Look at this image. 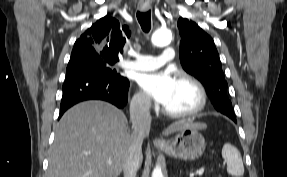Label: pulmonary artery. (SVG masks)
Instances as JSON below:
<instances>
[{
  "mask_svg": "<svg viewBox=\"0 0 287 177\" xmlns=\"http://www.w3.org/2000/svg\"><path fill=\"white\" fill-rule=\"evenodd\" d=\"M131 55L135 59L133 61L123 62L121 64L122 67L136 71H148L159 68L165 63L172 61L174 59V48L171 46L164 47L162 54L159 56L137 52H132Z\"/></svg>",
  "mask_w": 287,
  "mask_h": 177,
  "instance_id": "obj_1",
  "label": "pulmonary artery"
}]
</instances>
